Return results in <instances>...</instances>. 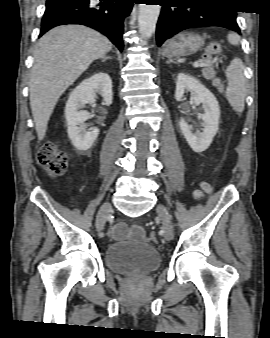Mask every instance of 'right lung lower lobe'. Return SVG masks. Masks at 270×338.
I'll return each mask as SVG.
<instances>
[{
  "label": "right lung lower lobe",
  "mask_w": 270,
  "mask_h": 338,
  "mask_svg": "<svg viewBox=\"0 0 270 338\" xmlns=\"http://www.w3.org/2000/svg\"><path fill=\"white\" fill-rule=\"evenodd\" d=\"M135 0H47L42 18L41 37L49 29L65 24H80L106 35L123 50V20Z\"/></svg>",
  "instance_id": "1"
}]
</instances>
